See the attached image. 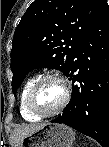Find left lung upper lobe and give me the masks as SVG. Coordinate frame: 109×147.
Instances as JSON below:
<instances>
[{"label":"left lung upper lobe","instance_id":"left-lung-upper-lobe-1","mask_svg":"<svg viewBox=\"0 0 109 147\" xmlns=\"http://www.w3.org/2000/svg\"><path fill=\"white\" fill-rule=\"evenodd\" d=\"M106 4V0H35L13 37V93L37 67L57 69L68 76L79 42ZM98 82L94 76L90 84L95 87Z\"/></svg>","mask_w":109,"mask_h":147}]
</instances>
